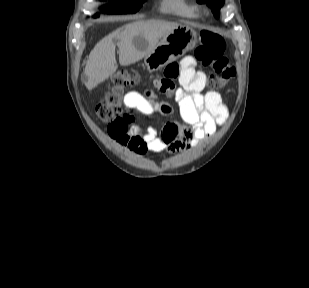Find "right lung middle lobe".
<instances>
[{
  "label": "right lung middle lobe",
  "mask_w": 309,
  "mask_h": 288,
  "mask_svg": "<svg viewBox=\"0 0 309 288\" xmlns=\"http://www.w3.org/2000/svg\"><path fill=\"white\" fill-rule=\"evenodd\" d=\"M145 0H113L109 5L103 8L107 14H131L137 12ZM99 13L94 17H99Z\"/></svg>",
  "instance_id": "dd1d6c3e"
}]
</instances>
